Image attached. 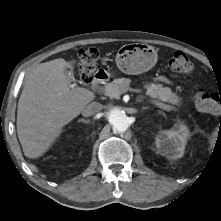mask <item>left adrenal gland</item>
Returning a JSON list of instances; mask_svg holds the SVG:
<instances>
[{"instance_id": "1", "label": "left adrenal gland", "mask_w": 221, "mask_h": 221, "mask_svg": "<svg viewBox=\"0 0 221 221\" xmlns=\"http://www.w3.org/2000/svg\"><path fill=\"white\" fill-rule=\"evenodd\" d=\"M146 109H149V107H143V108H142V110H146Z\"/></svg>"}]
</instances>
